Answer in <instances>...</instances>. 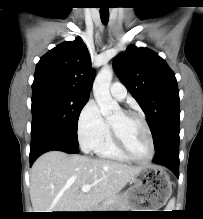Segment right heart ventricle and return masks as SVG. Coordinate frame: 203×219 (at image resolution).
<instances>
[{
  "label": "right heart ventricle",
  "mask_w": 203,
  "mask_h": 219,
  "mask_svg": "<svg viewBox=\"0 0 203 219\" xmlns=\"http://www.w3.org/2000/svg\"><path fill=\"white\" fill-rule=\"evenodd\" d=\"M95 152L97 153L98 156L102 158H107L117 161L128 160L116 147L109 123H107L106 133L103 139L101 140V142L98 144L97 148L95 149Z\"/></svg>",
  "instance_id": "e07e8e85"
}]
</instances>
